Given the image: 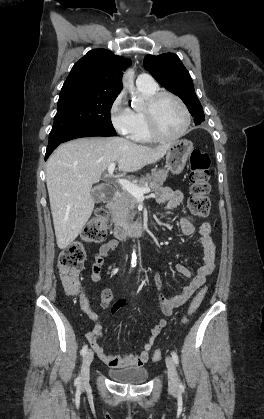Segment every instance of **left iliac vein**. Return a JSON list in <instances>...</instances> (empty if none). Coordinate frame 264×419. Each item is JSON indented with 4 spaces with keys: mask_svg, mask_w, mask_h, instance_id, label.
I'll return each instance as SVG.
<instances>
[{
    "mask_svg": "<svg viewBox=\"0 0 264 419\" xmlns=\"http://www.w3.org/2000/svg\"><path fill=\"white\" fill-rule=\"evenodd\" d=\"M166 366L168 369L169 388L171 390H175L178 386V375L176 372L174 360L170 356L166 357Z\"/></svg>",
    "mask_w": 264,
    "mask_h": 419,
    "instance_id": "4c4485c4",
    "label": "left iliac vein"
}]
</instances>
